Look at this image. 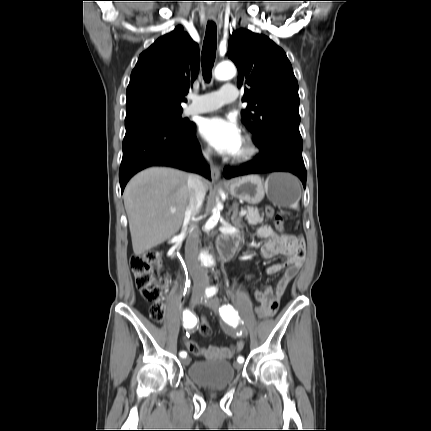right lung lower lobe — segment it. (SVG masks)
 <instances>
[{"label":"right lung lower lobe","instance_id":"obj_1","mask_svg":"<svg viewBox=\"0 0 431 431\" xmlns=\"http://www.w3.org/2000/svg\"><path fill=\"white\" fill-rule=\"evenodd\" d=\"M195 129L194 123L187 128L156 123L126 130L119 172L121 191L134 174L151 166L174 167L210 178Z\"/></svg>","mask_w":431,"mask_h":431}]
</instances>
